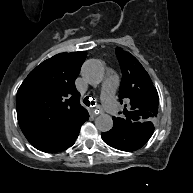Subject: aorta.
I'll return each instance as SVG.
<instances>
[{
  "instance_id": "aorta-1",
  "label": "aorta",
  "mask_w": 193,
  "mask_h": 193,
  "mask_svg": "<svg viewBox=\"0 0 193 193\" xmlns=\"http://www.w3.org/2000/svg\"><path fill=\"white\" fill-rule=\"evenodd\" d=\"M82 75L91 85L99 84L104 76V68L99 60L91 59L84 63L82 67ZM95 125L101 132H107L113 127L112 117L102 113L95 119Z\"/></svg>"
}]
</instances>
